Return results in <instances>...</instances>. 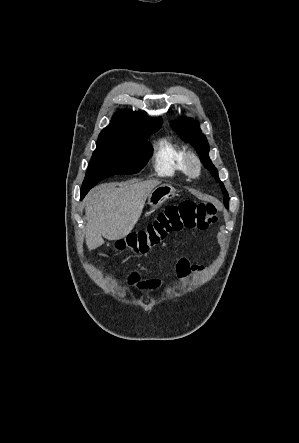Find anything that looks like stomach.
I'll return each mask as SVG.
<instances>
[{
  "label": "stomach",
  "mask_w": 299,
  "mask_h": 443,
  "mask_svg": "<svg viewBox=\"0 0 299 443\" xmlns=\"http://www.w3.org/2000/svg\"><path fill=\"white\" fill-rule=\"evenodd\" d=\"M176 190L170 184H162L154 188L148 196V205L152 211L158 209L166 200L175 196Z\"/></svg>",
  "instance_id": "stomach-1"
}]
</instances>
